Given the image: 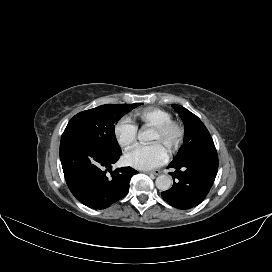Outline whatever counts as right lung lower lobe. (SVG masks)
<instances>
[{
    "label": "right lung lower lobe",
    "instance_id": "right-lung-lower-lobe-1",
    "mask_svg": "<svg viewBox=\"0 0 272 272\" xmlns=\"http://www.w3.org/2000/svg\"><path fill=\"white\" fill-rule=\"evenodd\" d=\"M121 154L87 140H61L65 180L78 201L93 209H105L127 195L131 177L138 172L131 167L111 171Z\"/></svg>",
    "mask_w": 272,
    "mask_h": 272
}]
</instances>
